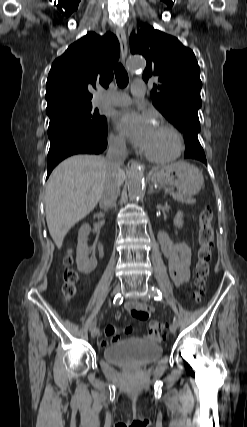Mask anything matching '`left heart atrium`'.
<instances>
[{
  "instance_id": "obj_1",
  "label": "left heart atrium",
  "mask_w": 247,
  "mask_h": 427,
  "mask_svg": "<svg viewBox=\"0 0 247 427\" xmlns=\"http://www.w3.org/2000/svg\"><path fill=\"white\" fill-rule=\"evenodd\" d=\"M115 124L123 136L142 149L146 147L155 130L150 115L132 110L118 113Z\"/></svg>"
}]
</instances>
